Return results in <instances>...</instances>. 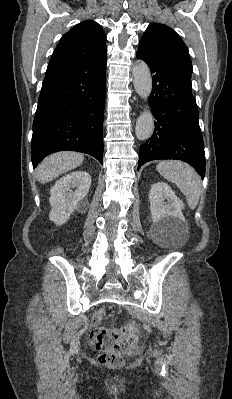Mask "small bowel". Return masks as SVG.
<instances>
[{"instance_id":"1","label":"small bowel","mask_w":232,"mask_h":399,"mask_svg":"<svg viewBox=\"0 0 232 399\" xmlns=\"http://www.w3.org/2000/svg\"><path fill=\"white\" fill-rule=\"evenodd\" d=\"M107 318V312L104 307H101L93 316L92 322L91 323H84L82 325L83 328L86 329H92L101 324L103 320Z\"/></svg>"}]
</instances>
